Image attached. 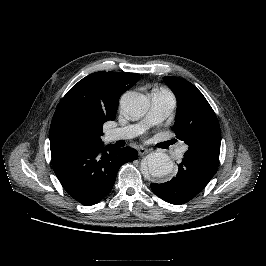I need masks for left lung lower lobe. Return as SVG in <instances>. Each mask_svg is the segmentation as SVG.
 I'll return each instance as SVG.
<instances>
[{
  "label": "left lung lower lobe",
  "instance_id": "left-lung-lower-lobe-1",
  "mask_svg": "<svg viewBox=\"0 0 266 266\" xmlns=\"http://www.w3.org/2000/svg\"><path fill=\"white\" fill-rule=\"evenodd\" d=\"M209 172L183 158L174 178L162 184H151L152 191L164 201L180 205L193 199L211 180Z\"/></svg>",
  "mask_w": 266,
  "mask_h": 266
}]
</instances>
